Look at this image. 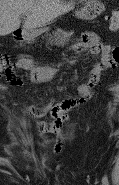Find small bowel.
I'll list each match as a JSON object with an SVG mask.
<instances>
[{
  "instance_id": "small-bowel-1",
  "label": "small bowel",
  "mask_w": 119,
  "mask_h": 185,
  "mask_svg": "<svg viewBox=\"0 0 119 185\" xmlns=\"http://www.w3.org/2000/svg\"><path fill=\"white\" fill-rule=\"evenodd\" d=\"M77 50H89L92 54H100L101 60L90 72V78L86 83L78 86L79 98H69L59 103H50L43 108V112L50 113L51 121H39L36 125V131L42 135L47 132L56 136V142L52 154H58L62 151L63 145V127L68 119V112L79 107L86 100L94 95V89L100 84L104 70L111 69L119 63V48L112 47L100 41L99 37L93 32H84L81 41L75 45ZM20 69L27 74L31 83H42L50 80L55 71L51 68L35 67L26 58H21L14 63L5 62L3 66L6 80L15 86L23 85V80L15 75V69ZM27 109L23 108L26 114ZM64 164L60 163L56 171L63 168Z\"/></svg>"
}]
</instances>
